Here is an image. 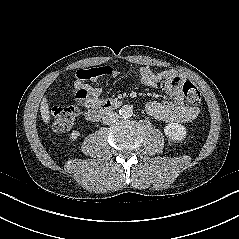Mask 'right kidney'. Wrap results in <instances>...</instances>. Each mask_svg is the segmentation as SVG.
I'll return each instance as SVG.
<instances>
[{"label":"right kidney","mask_w":239,"mask_h":239,"mask_svg":"<svg viewBox=\"0 0 239 239\" xmlns=\"http://www.w3.org/2000/svg\"><path fill=\"white\" fill-rule=\"evenodd\" d=\"M79 136H80V132H79V131H73V132L70 134V139H71L72 141H75Z\"/></svg>","instance_id":"1"}]
</instances>
